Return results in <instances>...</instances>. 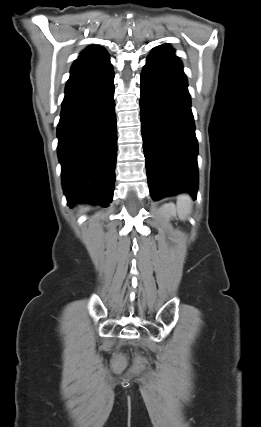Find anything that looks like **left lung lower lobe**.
Wrapping results in <instances>:
<instances>
[{
    "mask_svg": "<svg viewBox=\"0 0 261 427\" xmlns=\"http://www.w3.org/2000/svg\"><path fill=\"white\" fill-rule=\"evenodd\" d=\"M140 116L151 197L196 199L198 144L187 79L174 52L155 48L141 73Z\"/></svg>",
    "mask_w": 261,
    "mask_h": 427,
    "instance_id": "1",
    "label": "left lung lower lobe"
}]
</instances>
